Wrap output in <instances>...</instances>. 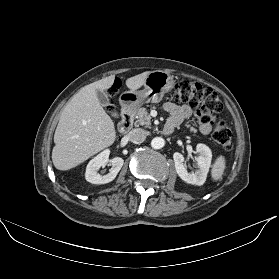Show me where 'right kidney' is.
<instances>
[{
    "mask_svg": "<svg viewBox=\"0 0 279 279\" xmlns=\"http://www.w3.org/2000/svg\"><path fill=\"white\" fill-rule=\"evenodd\" d=\"M109 154L110 151L106 149L88 163L85 172V178L88 182L92 184H106L115 179L123 166L124 160L120 157L109 159ZM107 163H110L111 165L109 173L100 175L98 170L100 167H104Z\"/></svg>",
    "mask_w": 279,
    "mask_h": 279,
    "instance_id": "1",
    "label": "right kidney"
}]
</instances>
